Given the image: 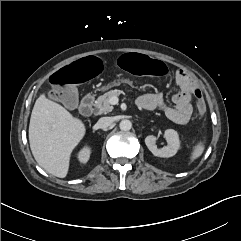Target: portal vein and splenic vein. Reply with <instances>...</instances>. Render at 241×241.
I'll use <instances>...</instances> for the list:
<instances>
[{"label": "portal vein and splenic vein", "instance_id": "portal-vein-and-splenic-vein-1", "mask_svg": "<svg viewBox=\"0 0 241 241\" xmlns=\"http://www.w3.org/2000/svg\"><path fill=\"white\" fill-rule=\"evenodd\" d=\"M119 98L117 96H113L110 98L109 102L111 105H116L118 104Z\"/></svg>", "mask_w": 241, "mask_h": 241}]
</instances>
